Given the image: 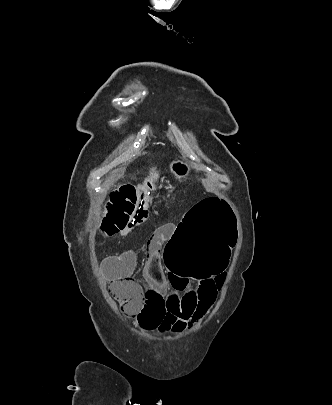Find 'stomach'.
Returning <instances> with one entry per match:
<instances>
[{"instance_id": "1", "label": "stomach", "mask_w": 332, "mask_h": 405, "mask_svg": "<svg viewBox=\"0 0 332 405\" xmlns=\"http://www.w3.org/2000/svg\"><path fill=\"white\" fill-rule=\"evenodd\" d=\"M170 169L177 178H183L189 174L190 166L187 163L176 160L170 164Z\"/></svg>"}]
</instances>
